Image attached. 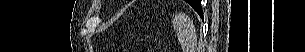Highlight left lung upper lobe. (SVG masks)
<instances>
[{
	"mask_svg": "<svg viewBox=\"0 0 305 52\" xmlns=\"http://www.w3.org/2000/svg\"><path fill=\"white\" fill-rule=\"evenodd\" d=\"M187 2H188L191 6L195 7V6H197V5H196V2H198V1H196V0H188Z\"/></svg>",
	"mask_w": 305,
	"mask_h": 52,
	"instance_id": "5c2ea615",
	"label": "left lung upper lobe"
}]
</instances>
